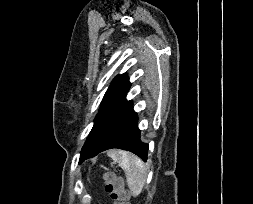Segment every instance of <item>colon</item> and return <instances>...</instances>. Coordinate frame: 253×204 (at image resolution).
I'll return each instance as SVG.
<instances>
[{"mask_svg": "<svg viewBox=\"0 0 253 204\" xmlns=\"http://www.w3.org/2000/svg\"><path fill=\"white\" fill-rule=\"evenodd\" d=\"M105 183V190L108 193L112 204H129V193L125 188L124 181L121 177L112 172L102 175Z\"/></svg>", "mask_w": 253, "mask_h": 204, "instance_id": "colon-1", "label": "colon"}]
</instances>
